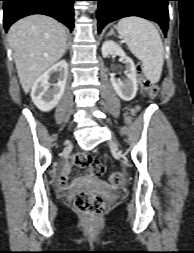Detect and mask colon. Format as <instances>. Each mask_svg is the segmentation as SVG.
<instances>
[{
	"label": "colon",
	"instance_id": "1",
	"mask_svg": "<svg viewBox=\"0 0 194 253\" xmlns=\"http://www.w3.org/2000/svg\"><path fill=\"white\" fill-rule=\"evenodd\" d=\"M137 73L141 79V85L145 93H147L150 98L156 97L159 91L158 86L151 81V78L142 77L140 67L137 68ZM139 110V105L125 108L123 111L125 118L123 120V125H132V122L135 120L134 116ZM73 161L77 166L86 168L87 173L91 176L100 177L104 174L103 165L99 161L91 159L87 154L78 153L74 156ZM122 180L123 174L119 171L112 172L109 175V182L113 185L120 184ZM73 203L78 210L90 215H98L105 209L104 200L94 194L78 193L75 195Z\"/></svg>",
	"mask_w": 194,
	"mask_h": 253
}]
</instances>
